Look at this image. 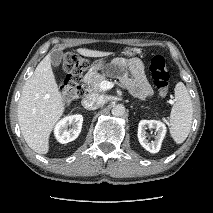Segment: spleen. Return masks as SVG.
<instances>
[{"label":"spleen","instance_id":"obj_1","mask_svg":"<svg viewBox=\"0 0 213 213\" xmlns=\"http://www.w3.org/2000/svg\"><path fill=\"white\" fill-rule=\"evenodd\" d=\"M193 120L190 95L182 82L175 86V103L170 113V134L177 144L183 143L189 135Z\"/></svg>","mask_w":213,"mask_h":213}]
</instances>
